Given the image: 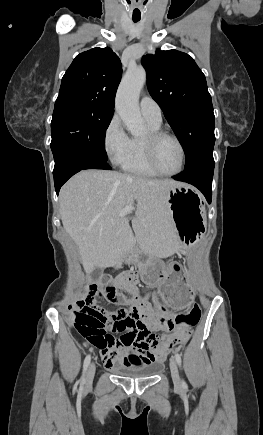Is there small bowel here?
<instances>
[{
  "instance_id": "obj_1",
  "label": "small bowel",
  "mask_w": 263,
  "mask_h": 435,
  "mask_svg": "<svg viewBox=\"0 0 263 435\" xmlns=\"http://www.w3.org/2000/svg\"><path fill=\"white\" fill-rule=\"evenodd\" d=\"M142 277V271H129L118 275L113 282V287L120 298L109 300L116 305H127L115 314H107L101 310L92 299L83 298L77 302L79 311L102 313L106 326L113 330H125V328H148L150 332L166 331L161 337L167 339L165 350H99L104 365L107 368L121 366H142L153 362H162L167 355H173L179 350L180 343L177 341L175 332L182 333L190 330V321H173L168 315L161 313L160 305L153 306L140 293L137 284ZM123 291L126 296L120 293Z\"/></svg>"
}]
</instances>
